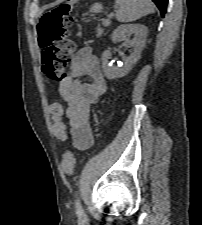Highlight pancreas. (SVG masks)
I'll list each match as a JSON object with an SVG mask.
<instances>
[{
	"instance_id": "pancreas-1",
	"label": "pancreas",
	"mask_w": 202,
	"mask_h": 225,
	"mask_svg": "<svg viewBox=\"0 0 202 225\" xmlns=\"http://www.w3.org/2000/svg\"><path fill=\"white\" fill-rule=\"evenodd\" d=\"M102 24H103V26L104 27H107V26H109L110 24H108L106 21H105V19H103L102 20ZM103 32H104V28H97L96 29V36L97 37H100L102 34H103Z\"/></svg>"
}]
</instances>
